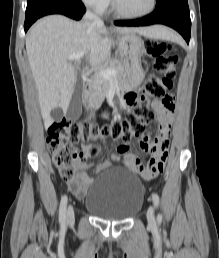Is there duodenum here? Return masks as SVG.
I'll use <instances>...</instances> for the list:
<instances>
[{
    "label": "duodenum",
    "instance_id": "obj_1",
    "mask_svg": "<svg viewBox=\"0 0 219 258\" xmlns=\"http://www.w3.org/2000/svg\"><path fill=\"white\" fill-rule=\"evenodd\" d=\"M83 94H84V100L86 101L88 99V97L90 96V94H91V86L89 84H87L84 87Z\"/></svg>",
    "mask_w": 219,
    "mask_h": 258
}]
</instances>
